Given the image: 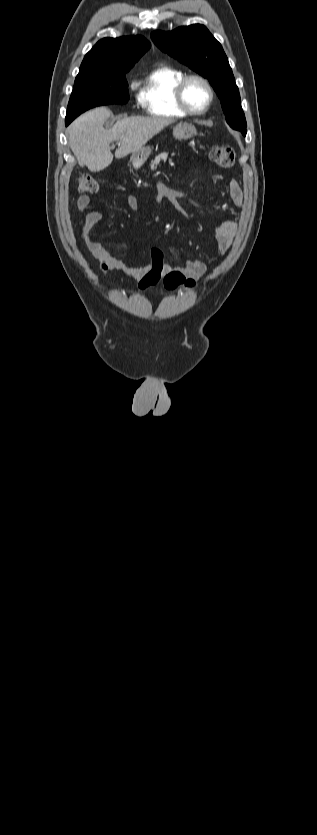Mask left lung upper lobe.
Here are the masks:
<instances>
[{
    "instance_id": "obj_1",
    "label": "left lung upper lobe",
    "mask_w": 317,
    "mask_h": 835,
    "mask_svg": "<svg viewBox=\"0 0 317 835\" xmlns=\"http://www.w3.org/2000/svg\"><path fill=\"white\" fill-rule=\"evenodd\" d=\"M153 42L163 52L209 79L220 98L227 123L244 135L247 127L240 94L221 44L201 24L179 27L170 32L154 31Z\"/></svg>"
}]
</instances>
